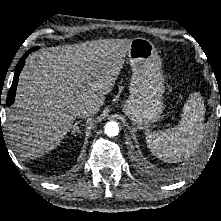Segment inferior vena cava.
Segmentation results:
<instances>
[{
	"label": "inferior vena cava",
	"instance_id": "inferior-vena-cava-1",
	"mask_svg": "<svg viewBox=\"0 0 221 221\" xmlns=\"http://www.w3.org/2000/svg\"><path fill=\"white\" fill-rule=\"evenodd\" d=\"M96 112H97V109L89 104L81 105L76 110L77 116L81 118L90 117L94 115Z\"/></svg>",
	"mask_w": 221,
	"mask_h": 221
}]
</instances>
